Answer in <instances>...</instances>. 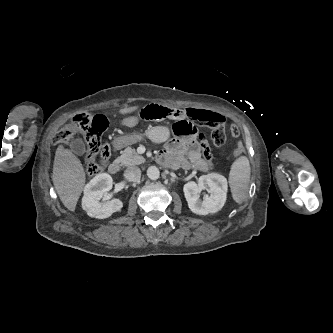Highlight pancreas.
<instances>
[{"instance_id": "obj_1", "label": "pancreas", "mask_w": 333, "mask_h": 333, "mask_svg": "<svg viewBox=\"0 0 333 333\" xmlns=\"http://www.w3.org/2000/svg\"><path fill=\"white\" fill-rule=\"evenodd\" d=\"M144 160V157L139 155L132 147H127L122 152L121 156L117 158L120 165L126 167L142 164Z\"/></svg>"}]
</instances>
